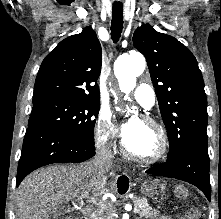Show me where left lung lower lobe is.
<instances>
[{
	"label": "left lung lower lobe",
	"instance_id": "left-lung-lower-lobe-1",
	"mask_svg": "<svg viewBox=\"0 0 221 219\" xmlns=\"http://www.w3.org/2000/svg\"><path fill=\"white\" fill-rule=\"evenodd\" d=\"M146 172L189 182L199 188L210 201L208 144L193 143L175 157L168 156L165 163L153 166Z\"/></svg>",
	"mask_w": 221,
	"mask_h": 219
}]
</instances>
